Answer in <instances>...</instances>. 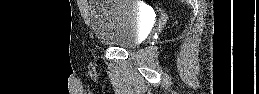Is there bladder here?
Segmentation results:
<instances>
[{
  "mask_svg": "<svg viewBox=\"0 0 259 94\" xmlns=\"http://www.w3.org/2000/svg\"><path fill=\"white\" fill-rule=\"evenodd\" d=\"M89 20L101 44L125 49L140 42L145 26L142 9L127 0L91 1Z\"/></svg>",
  "mask_w": 259,
  "mask_h": 94,
  "instance_id": "1",
  "label": "bladder"
}]
</instances>
